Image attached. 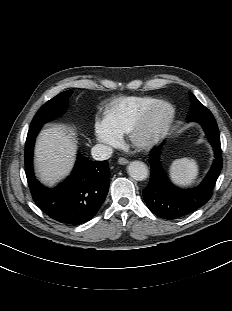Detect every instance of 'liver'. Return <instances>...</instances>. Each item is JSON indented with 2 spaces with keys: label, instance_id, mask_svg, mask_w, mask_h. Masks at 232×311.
Wrapping results in <instances>:
<instances>
[{
  "label": "liver",
  "instance_id": "obj_1",
  "mask_svg": "<svg viewBox=\"0 0 232 311\" xmlns=\"http://www.w3.org/2000/svg\"><path fill=\"white\" fill-rule=\"evenodd\" d=\"M76 141L63 126L42 131L35 148V163L40 179L52 185L66 176L74 163Z\"/></svg>",
  "mask_w": 232,
  "mask_h": 311
}]
</instances>
